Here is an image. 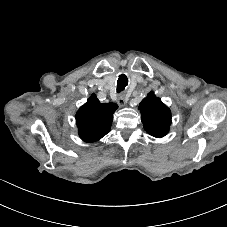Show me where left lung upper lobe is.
Here are the masks:
<instances>
[{"mask_svg":"<svg viewBox=\"0 0 227 227\" xmlns=\"http://www.w3.org/2000/svg\"><path fill=\"white\" fill-rule=\"evenodd\" d=\"M139 109L143 126L150 135L161 138L169 132L171 111L153 92L141 101Z\"/></svg>","mask_w":227,"mask_h":227,"instance_id":"obj_1","label":"left lung upper lobe"}]
</instances>
